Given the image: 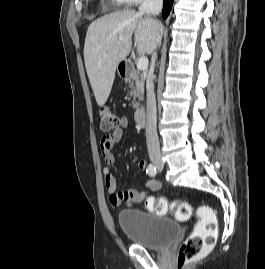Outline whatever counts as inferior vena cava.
Listing matches in <instances>:
<instances>
[{"mask_svg": "<svg viewBox=\"0 0 265 269\" xmlns=\"http://www.w3.org/2000/svg\"><path fill=\"white\" fill-rule=\"evenodd\" d=\"M163 6V0H144L139 7V13L149 17L158 15ZM156 60V52L152 53L151 67L147 81V112H146V142L150 159L161 160L159 139L157 134V108L153 85V72Z\"/></svg>", "mask_w": 265, "mask_h": 269, "instance_id": "inferior-vena-cava-1", "label": "inferior vena cava"}]
</instances>
